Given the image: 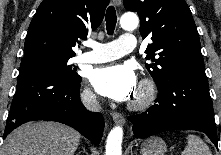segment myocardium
I'll return each instance as SVG.
<instances>
[{
    "label": "myocardium",
    "mask_w": 221,
    "mask_h": 155,
    "mask_svg": "<svg viewBox=\"0 0 221 155\" xmlns=\"http://www.w3.org/2000/svg\"><path fill=\"white\" fill-rule=\"evenodd\" d=\"M156 88L154 83L149 79L141 81L137 94L129 103V108L132 110H143L149 107L155 100Z\"/></svg>",
    "instance_id": "myocardium-1"
}]
</instances>
